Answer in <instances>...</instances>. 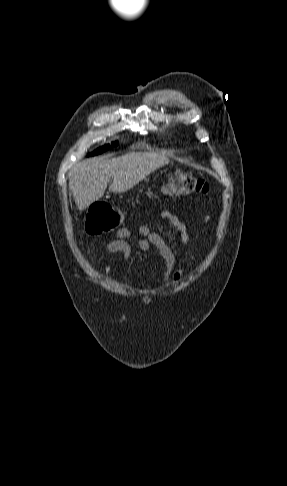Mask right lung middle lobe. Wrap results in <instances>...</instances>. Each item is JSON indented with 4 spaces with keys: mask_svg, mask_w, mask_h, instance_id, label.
<instances>
[{
    "mask_svg": "<svg viewBox=\"0 0 287 486\" xmlns=\"http://www.w3.org/2000/svg\"><path fill=\"white\" fill-rule=\"evenodd\" d=\"M117 144H118V142H113V143H112V145H113V146H116ZM109 147H110L109 145H106V146H104V147H102V148H99V149H97L95 152L90 153V154H89V156H93V155H96V154H100V153H102L103 151L107 150Z\"/></svg>",
    "mask_w": 287,
    "mask_h": 486,
    "instance_id": "dd1d6c3e",
    "label": "right lung middle lobe"
}]
</instances>
